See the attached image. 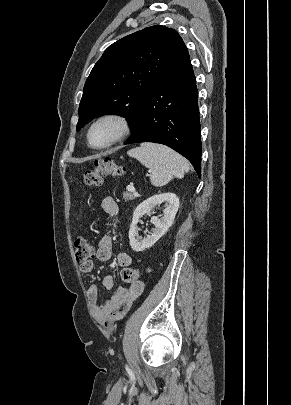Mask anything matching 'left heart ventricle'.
Masks as SVG:
<instances>
[{
	"label": "left heart ventricle",
	"mask_w": 291,
	"mask_h": 405,
	"mask_svg": "<svg viewBox=\"0 0 291 405\" xmlns=\"http://www.w3.org/2000/svg\"><path fill=\"white\" fill-rule=\"evenodd\" d=\"M115 133V126L109 122L97 125L91 132L90 140L95 146L105 144Z\"/></svg>",
	"instance_id": "b2bd125f"
}]
</instances>
